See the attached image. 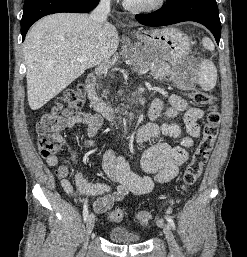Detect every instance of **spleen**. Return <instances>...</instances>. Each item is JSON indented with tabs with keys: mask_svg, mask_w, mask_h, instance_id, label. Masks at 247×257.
Returning <instances> with one entry per match:
<instances>
[{
	"mask_svg": "<svg viewBox=\"0 0 247 257\" xmlns=\"http://www.w3.org/2000/svg\"><path fill=\"white\" fill-rule=\"evenodd\" d=\"M203 46L209 50H214V44L213 42L205 37L202 40ZM217 81V69L213 62L211 60H203L199 66L198 76H197V82L201 86V88L204 91H210L212 90Z\"/></svg>",
	"mask_w": 247,
	"mask_h": 257,
	"instance_id": "obj_1",
	"label": "spleen"
}]
</instances>
